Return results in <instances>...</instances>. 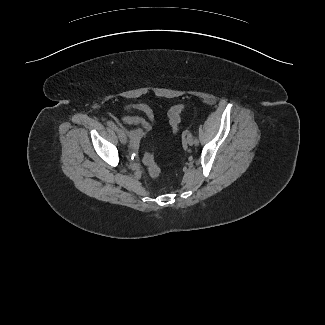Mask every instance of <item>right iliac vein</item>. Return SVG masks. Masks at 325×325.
Returning <instances> with one entry per match:
<instances>
[{
    "instance_id": "obj_1",
    "label": "right iliac vein",
    "mask_w": 325,
    "mask_h": 325,
    "mask_svg": "<svg viewBox=\"0 0 325 325\" xmlns=\"http://www.w3.org/2000/svg\"><path fill=\"white\" fill-rule=\"evenodd\" d=\"M117 135L121 143L126 144L127 143V137L124 133V131L120 128L117 129Z\"/></svg>"
}]
</instances>
